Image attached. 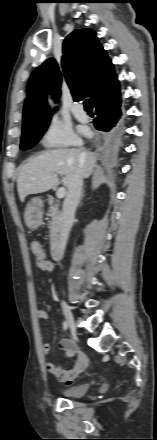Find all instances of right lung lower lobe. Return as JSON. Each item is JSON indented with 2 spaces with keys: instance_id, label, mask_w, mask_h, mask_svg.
Masks as SVG:
<instances>
[{
  "instance_id": "obj_1",
  "label": "right lung lower lobe",
  "mask_w": 157,
  "mask_h": 440,
  "mask_svg": "<svg viewBox=\"0 0 157 440\" xmlns=\"http://www.w3.org/2000/svg\"><path fill=\"white\" fill-rule=\"evenodd\" d=\"M123 114L121 110V95L117 93L96 108L94 126L101 131L107 132V136L113 137L120 133L122 128Z\"/></svg>"
}]
</instances>
